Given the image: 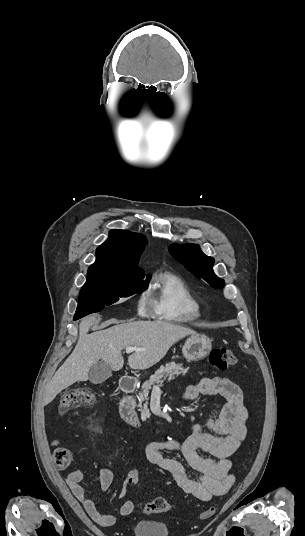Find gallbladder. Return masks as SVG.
<instances>
[{
    "instance_id": "1",
    "label": "gallbladder",
    "mask_w": 305,
    "mask_h": 536,
    "mask_svg": "<svg viewBox=\"0 0 305 536\" xmlns=\"http://www.w3.org/2000/svg\"><path fill=\"white\" fill-rule=\"evenodd\" d=\"M112 376V368L106 362H97L94 366H91L89 372V380L92 384H102L105 380H108Z\"/></svg>"
}]
</instances>
